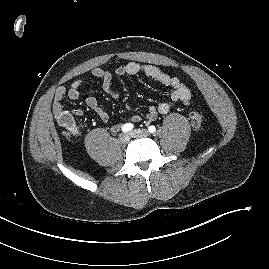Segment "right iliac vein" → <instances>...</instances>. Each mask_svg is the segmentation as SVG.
<instances>
[{
	"mask_svg": "<svg viewBox=\"0 0 269 269\" xmlns=\"http://www.w3.org/2000/svg\"><path fill=\"white\" fill-rule=\"evenodd\" d=\"M119 141L122 144L128 143L130 141V135L128 133L121 134L120 137H119Z\"/></svg>",
	"mask_w": 269,
	"mask_h": 269,
	"instance_id": "right-iliac-vein-1",
	"label": "right iliac vein"
}]
</instances>
